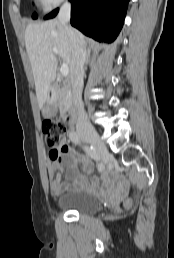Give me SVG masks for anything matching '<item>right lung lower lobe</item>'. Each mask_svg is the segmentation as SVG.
<instances>
[{"instance_id": "98d812e1", "label": "right lung lower lobe", "mask_w": 174, "mask_h": 258, "mask_svg": "<svg viewBox=\"0 0 174 258\" xmlns=\"http://www.w3.org/2000/svg\"><path fill=\"white\" fill-rule=\"evenodd\" d=\"M71 25L99 42L111 43L119 34L129 0H69ZM58 9L44 19L56 16Z\"/></svg>"}]
</instances>
